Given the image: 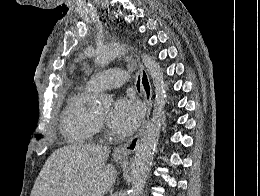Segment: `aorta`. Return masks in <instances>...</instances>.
<instances>
[{
  "mask_svg": "<svg viewBox=\"0 0 260 196\" xmlns=\"http://www.w3.org/2000/svg\"><path fill=\"white\" fill-rule=\"evenodd\" d=\"M124 51L125 46L118 43L99 48L95 54V64L103 68ZM141 59L151 76L156 96L152 117L146 124L137 151L131 160L130 180L132 186L129 190V196H140L146 184L160 135L161 117L164 115L166 97V85L159 64L146 54H142ZM110 102L111 100L107 96L100 98V104L104 107L108 106Z\"/></svg>",
  "mask_w": 260,
  "mask_h": 196,
  "instance_id": "aorta-1",
  "label": "aorta"
}]
</instances>
